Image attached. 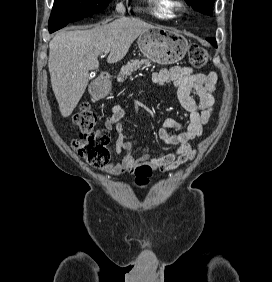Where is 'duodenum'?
Instances as JSON below:
<instances>
[{
  "mask_svg": "<svg viewBox=\"0 0 272 282\" xmlns=\"http://www.w3.org/2000/svg\"><path fill=\"white\" fill-rule=\"evenodd\" d=\"M110 82L108 75H103L91 84L89 90L95 100L103 99L107 94V86Z\"/></svg>",
  "mask_w": 272,
  "mask_h": 282,
  "instance_id": "duodenum-1",
  "label": "duodenum"
}]
</instances>
